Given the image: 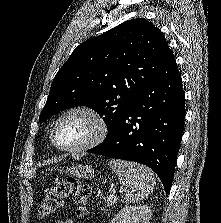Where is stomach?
Segmentation results:
<instances>
[{
	"label": "stomach",
	"instance_id": "0dacf381",
	"mask_svg": "<svg viewBox=\"0 0 221 223\" xmlns=\"http://www.w3.org/2000/svg\"><path fill=\"white\" fill-rule=\"evenodd\" d=\"M72 176L76 178H92L94 176V170L91 166L88 165H77L75 167H71L67 170Z\"/></svg>",
	"mask_w": 221,
	"mask_h": 223
}]
</instances>
